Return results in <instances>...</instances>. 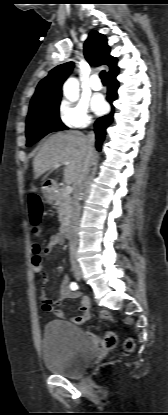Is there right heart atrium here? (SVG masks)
<instances>
[{"label": "right heart atrium", "mask_w": 168, "mask_h": 415, "mask_svg": "<svg viewBox=\"0 0 168 415\" xmlns=\"http://www.w3.org/2000/svg\"><path fill=\"white\" fill-rule=\"evenodd\" d=\"M58 118L68 129H84L93 122L89 107L85 102H62L58 109Z\"/></svg>", "instance_id": "obj_1"}]
</instances>
